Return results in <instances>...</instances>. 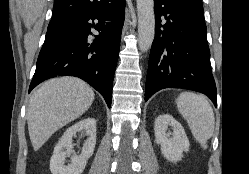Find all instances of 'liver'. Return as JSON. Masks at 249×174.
<instances>
[{
    "label": "liver",
    "mask_w": 249,
    "mask_h": 174,
    "mask_svg": "<svg viewBox=\"0 0 249 174\" xmlns=\"http://www.w3.org/2000/svg\"><path fill=\"white\" fill-rule=\"evenodd\" d=\"M92 88L76 77H59L44 82L30 97L28 131L34 151L60 128L80 117L92 105Z\"/></svg>",
    "instance_id": "6515ba94"
}]
</instances>
